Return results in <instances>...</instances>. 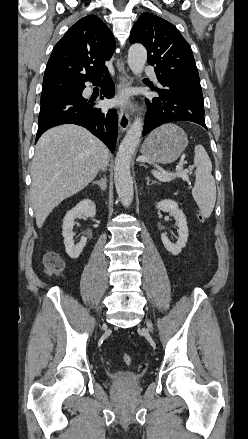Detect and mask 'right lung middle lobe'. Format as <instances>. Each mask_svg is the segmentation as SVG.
<instances>
[{"label":"right lung middle lobe","instance_id":"dd1d6c3e","mask_svg":"<svg viewBox=\"0 0 248 439\" xmlns=\"http://www.w3.org/2000/svg\"><path fill=\"white\" fill-rule=\"evenodd\" d=\"M62 95H63V94H62ZM59 96H61V95H58V96H48V97H41L40 104H43V103H45V102H47V101H50V100H52V99H54V98H56V97H59Z\"/></svg>","mask_w":248,"mask_h":439}]
</instances>
